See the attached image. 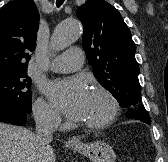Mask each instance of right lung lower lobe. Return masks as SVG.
I'll return each instance as SVG.
<instances>
[{
	"label": "right lung lower lobe",
	"mask_w": 168,
	"mask_h": 162,
	"mask_svg": "<svg viewBox=\"0 0 168 162\" xmlns=\"http://www.w3.org/2000/svg\"><path fill=\"white\" fill-rule=\"evenodd\" d=\"M27 112L0 108V122L22 126L26 123Z\"/></svg>",
	"instance_id": "obj_1"
}]
</instances>
